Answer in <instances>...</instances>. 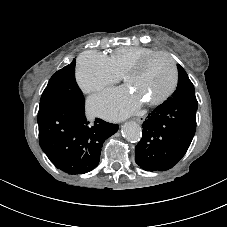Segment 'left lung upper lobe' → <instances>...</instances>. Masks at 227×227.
Segmentation results:
<instances>
[{
	"instance_id": "1",
	"label": "left lung upper lobe",
	"mask_w": 227,
	"mask_h": 227,
	"mask_svg": "<svg viewBox=\"0 0 227 227\" xmlns=\"http://www.w3.org/2000/svg\"><path fill=\"white\" fill-rule=\"evenodd\" d=\"M178 72H179V80L178 85L175 92L172 94L169 99L172 98H196L195 97V90L192 82L190 81L187 73L182 68L181 65H178Z\"/></svg>"
}]
</instances>
